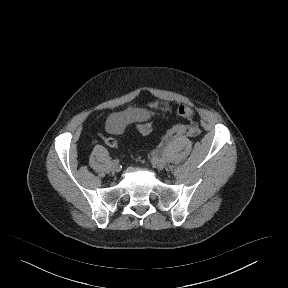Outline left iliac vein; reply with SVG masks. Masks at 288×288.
Masks as SVG:
<instances>
[{
    "mask_svg": "<svg viewBox=\"0 0 288 288\" xmlns=\"http://www.w3.org/2000/svg\"><path fill=\"white\" fill-rule=\"evenodd\" d=\"M151 163L153 165V167L162 170L165 167V160L163 158L160 157H154L151 160Z\"/></svg>",
    "mask_w": 288,
    "mask_h": 288,
    "instance_id": "4c4485c4",
    "label": "left iliac vein"
}]
</instances>
